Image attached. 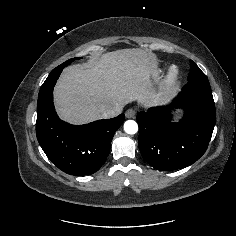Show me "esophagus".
<instances>
[{"mask_svg": "<svg viewBox=\"0 0 236 236\" xmlns=\"http://www.w3.org/2000/svg\"><path fill=\"white\" fill-rule=\"evenodd\" d=\"M125 115L127 118H134L136 115V111L135 109L130 108L126 111Z\"/></svg>", "mask_w": 236, "mask_h": 236, "instance_id": "obj_1", "label": "esophagus"}]
</instances>
